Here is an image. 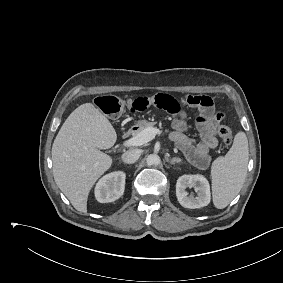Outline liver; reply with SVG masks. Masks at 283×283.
Listing matches in <instances>:
<instances>
[{
    "instance_id": "6515ba94",
    "label": "liver",
    "mask_w": 283,
    "mask_h": 283,
    "mask_svg": "<svg viewBox=\"0 0 283 283\" xmlns=\"http://www.w3.org/2000/svg\"><path fill=\"white\" fill-rule=\"evenodd\" d=\"M117 139L109 120L85 103L65 120L52 145L53 176L73 207L87 212L89 192L112 165V158L100 151Z\"/></svg>"
}]
</instances>
